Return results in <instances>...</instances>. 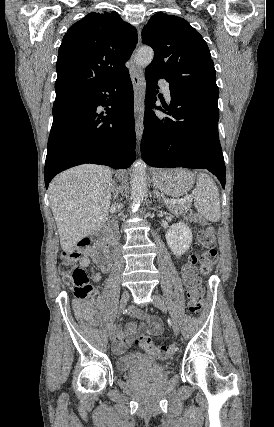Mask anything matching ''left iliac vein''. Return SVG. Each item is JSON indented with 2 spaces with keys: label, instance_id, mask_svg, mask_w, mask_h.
<instances>
[{
  "label": "left iliac vein",
  "instance_id": "left-iliac-vein-1",
  "mask_svg": "<svg viewBox=\"0 0 274 427\" xmlns=\"http://www.w3.org/2000/svg\"><path fill=\"white\" fill-rule=\"evenodd\" d=\"M152 297H153V301H152L153 305L155 307H157L158 309H160L161 311L167 312V307H166L164 301L159 296H157L155 294H153ZM171 322H172L173 332L176 336H178L179 332H180L178 322L175 318H172Z\"/></svg>",
  "mask_w": 274,
  "mask_h": 427
}]
</instances>
